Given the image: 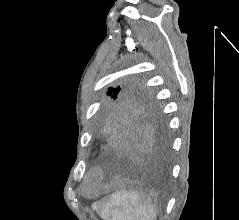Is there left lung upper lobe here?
Listing matches in <instances>:
<instances>
[{"mask_svg": "<svg viewBox=\"0 0 239 220\" xmlns=\"http://www.w3.org/2000/svg\"><path fill=\"white\" fill-rule=\"evenodd\" d=\"M110 97L103 104V110L116 106H124L131 110H149L158 112L157 103L152 98L150 92L143 88H138L134 81L124 82L121 86L110 87L107 91Z\"/></svg>", "mask_w": 239, "mask_h": 220, "instance_id": "left-lung-upper-lobe-1", "label": "left lung upper lobe"}]
</instances>
